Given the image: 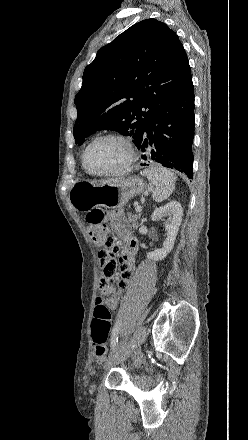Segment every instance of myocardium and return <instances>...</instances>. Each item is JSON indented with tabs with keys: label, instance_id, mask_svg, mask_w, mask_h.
Segmentation results:
<instances>
[{
	"label": "myocardium",
	"instance_id": "1",
	"mask_svg": "<svg viewBox=\"0 0 248 440\" xmlns=\"http://www.w3.org/2000/svg\"><path fill=\"white\" fill-rule=\"evenodd\" d=\"M103 139H117V140L121 141L122 143H124V145L126 146L128 156H127L126 163L124 164V166L122 168L115 170V171H110V172H95L89 168L88 162H87L88 152H89L90 148L95 143H97L98 141L103 140ZM135 158H136V154H135L134 146H133L131 140L127 136L120 134V133H117V132H108V133H104V134L97 136L87 145V147L85 148L83 155H82V163H83L84 169L90 175L97 176V177H117V176L124 175L131 170V168L134 164Z\"/></svg>",
	"mask_w": 248,
	"mask_h": 440
}]
</instances>
